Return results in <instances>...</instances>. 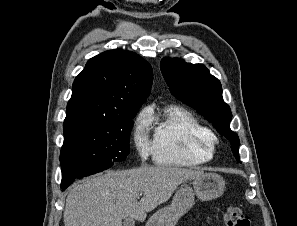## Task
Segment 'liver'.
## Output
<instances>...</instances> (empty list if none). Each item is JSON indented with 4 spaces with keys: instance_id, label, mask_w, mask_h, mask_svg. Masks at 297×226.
<instances>
[{
    "instance_id": "obj_1",
    "label": "liver",
    "mask_w": 297,
    "mask_h": 226,
    "mask_svg": "<svg viewBox=\"0 0 297 226\" xmlns=\"http://www.w3.org/2000/svg\"><path fill=\"white\" fill-rule=\"evenodd\" d=\"M203 171L177 167H140L106 171L76 184L66 199L65 226H122V219L143 222L175 189ZM140 193L143 197L138 201Z\"/></svg>"
}]
</instances>
